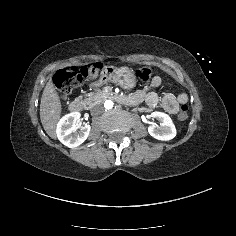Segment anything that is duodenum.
I'll return each mask as SVG.
<instances>
[{
    "label": "duodenum",
    "instance_id": "410a0bca",
    "mask_svg": "<svg viewBox=\"0 0 236 236\" xmlns=\"http://www.w3.org/2000/svg\"><path fill=\"white\" fill-rule=\"evenodd\" d=\"M117 99L123 103L131 104V105L137 104V100L132 96H129V97L117 96ZM69 109L72 113H75V114L81 113L84 109V102L81 99H75L70 103Z\"/></svg>",
    "mask_w": 236,
    "mask_h": 236
}]
</instances>
